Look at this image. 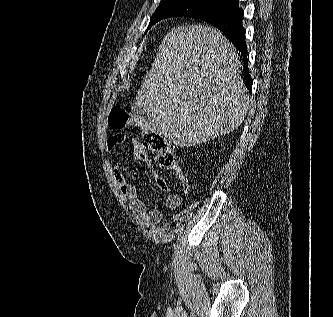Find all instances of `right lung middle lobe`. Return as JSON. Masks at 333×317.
Returning a JSON list of instances; mask_svg holds the SVG:
<instances>
[{
    "label": "right lung middle lobe",
    "instance_id": "obj_1",
    "mask_svg": "<svg viewBox=\"0 0 333 317\" xmlns=\"http://www.w3.org/2000/svg\"><path fill=\"white\" fill-rule=\"evenodd\" d=\"M230 4L228 0H161L147 30L158 21L177 16H196Z\"/></svg>",
    "mask_w": 333,
    "mask_h": 317
}]
</instances>
